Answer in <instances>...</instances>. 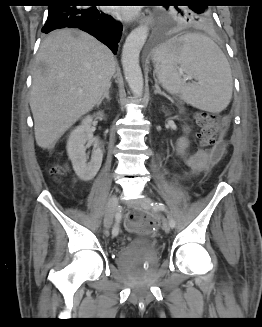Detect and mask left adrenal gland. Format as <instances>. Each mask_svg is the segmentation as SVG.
<instances>
[{
	"mask_svg": "<svg viewBox=\"0 0 262 327\" xmlns=\"http://www.w3.org/2000/svg\"><path fill=\"white\" fill-rule=\"evenodd\" d=\"M154 94L155 95H157V94L164 95L165 97H167V95L161 91V89L159 88L157 82L155 83V91H154Z\"/></svg>",
	"mask_w": 262,
	"mask_h": 327,
	"instance_id": "obj_1",
	"label": "left adrenal gland"
}]
</instances>
